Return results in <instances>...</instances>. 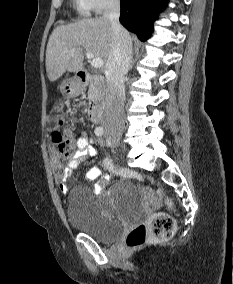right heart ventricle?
I'll list each match as a JSON object with an SVG mask.
<instances>
[{
  "instance_id": "1",
  "label": "right heart ventricle",
  "mask_w": 233,
  "mask_h": 284,
  "mask_svg": "<svg viewBox=\"0 0 233 284\" xmlns=\"http://www.w3.org/2000/svg\"><path fill=\"white\" fill-rule=\"evenodd\" d=\"M77 3V8L79 9L80 12L86 14L89 11V8L85 2V0H76Z\"/></svg>"
}]
</instances>
